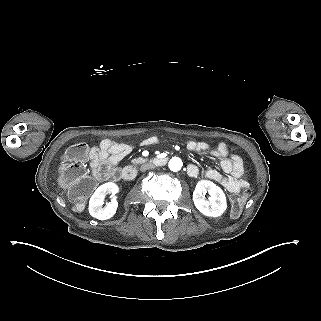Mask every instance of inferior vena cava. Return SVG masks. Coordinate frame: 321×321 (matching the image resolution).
<instances>
[{"label":"inferior vena cava","mask_w":321,"mask_h":321,"mask_svg":"<svg viewBox=\"0 0 321 321\" xmlns=\"http://www.w3.org/2000/svg\"><path fill=\"white\" fill-rule=\"evenodd\" d=\"M154 167H155V166H154L153 164H151V163H146V164H144V165L141 166L140 170H141L142 172H145V171H147V170H149V169H153Z\"/></svg>","instance_id":"obj_1"}]
</instances>
